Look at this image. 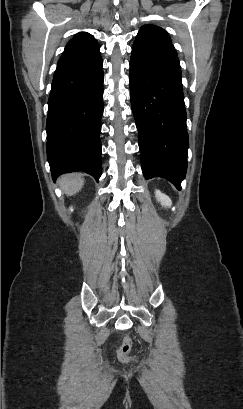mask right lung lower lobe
I'll return each instance as SVG.
<instances>
[{
	"mask_svg": "<svg viewBox=\"0 0 243 409\" xmlns=\"http://www.w3.org/2000/svg\"><path fill=\"white\" fill-rule=\"evenodd\" d=\"M96 46L57 64L48 100L47 159L52 178L85 171L98 180L101 167L103 61Z\"/></svg>",
	"mask_w": 243,
	"mask_h": 409,
	"instance_id": "obj_1",
	"label": "right lung lower lobe"
}]
</instances>
